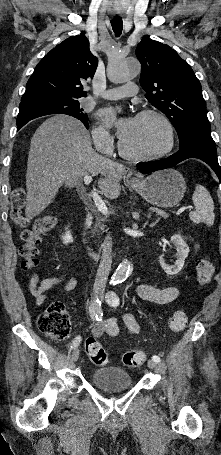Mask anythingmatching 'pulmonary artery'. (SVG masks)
<instances>
[{"label": "pulmonary artery", "mask_w": 221, "mask_h": 455, "mask_svg": "<svg viewBox=\"0 0 221 455\" xmlns=\"http://www.w3.org/2000/svg\"><path fill=\"white\" fill-rule=\"evenodd\" d=\"M138 92V87L135 83H127L121 87L107 89L100 93L104 99L117 100L128 96H133Z\"/></svg>", "instance_id": "1"}]
</instances>
